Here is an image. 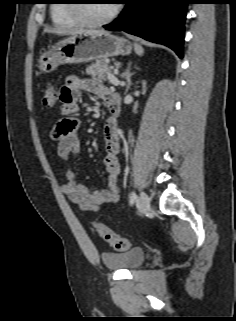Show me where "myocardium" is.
I'll list each match as a JSON object with an SVG mask.
<instances>
[{
    "mask_svg": "<svg viewBox=\"0 0 236 321\" xmlns=\"http://www.w3.org/2000/svg\"><path fill=\"white\" fill-rule=\"evenodd\" d=\"M88 0H72L70 3V10L72 15L83 25L89 27H101L112 22L120 13L121 5L115 3L111 13L100 20H94L89 18L86 13V3Z\"/></svg>",
    "mask_w": 236,
    "mask_h": 321,
    "instance_id": "obj_1",
    "label": "myocardium"
}]
</instances>
